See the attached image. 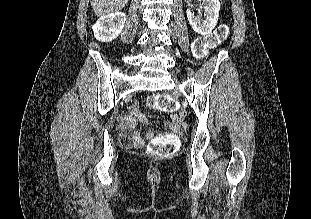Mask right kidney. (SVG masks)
I'll return each mask as SVG.
<instances>
[{"instance_id":"1","label":"right kidney","mask_w":311,"mask_h":219,"mask_svg":"<svg viewBox=\"0 0 311 219\" xmlns=\"http://www.w3.org/2000/svg\"><path fill=\"white\" fill-rule=\"evenodd\" d=\"M125 22L126 15L122 12L100 17L92 27L94 36L98 41L110 42L122 32Z\"/></svg>"}]
</instances>
